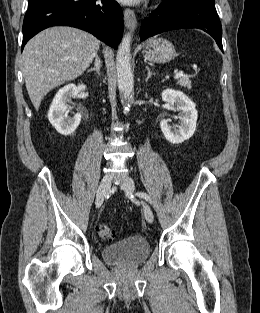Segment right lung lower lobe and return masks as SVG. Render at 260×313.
Wrapping results in <instances>:
<instances>
[{
	"mask_svg": "<svg viewBox=\"0 0 260 313\" xmlns=\"http://www.w3.org/2000/svg\"><path fill=\"white\" fill-rule=\"evenodd\" d=\"M22 50L29 39L51 26L83 29L116 48L123 33V12L114 0H29Z\"/></svg>",
	"mask_w": 260,
	"mask_h": 313,
	"instance_id": "98d812e1",
	"label": "right lung lower lobe"
}]
</instances>
